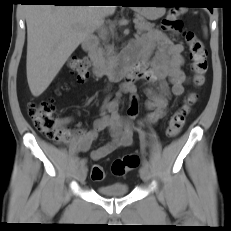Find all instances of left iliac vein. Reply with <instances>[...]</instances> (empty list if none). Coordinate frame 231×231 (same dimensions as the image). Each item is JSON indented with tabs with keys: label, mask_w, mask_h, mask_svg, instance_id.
<instances>
[{
	"label": "left iliac vein",
	"mask_w": 231,
	"mask_h": 231,
	"mask_svg": "<svg viewBox=\"0 0 231 231\" xmlns=\"http://www.w3.org/2000/svg\"><path fill=\"white\" fill-rule=\"evenodd\" d=\"M140 176L144 182L148 183L150 181V178H151L150 169L143 165L140 168Z\"/></svg>",
	"instance_id": "left-iliac-vein-1"
}]
</instances>
